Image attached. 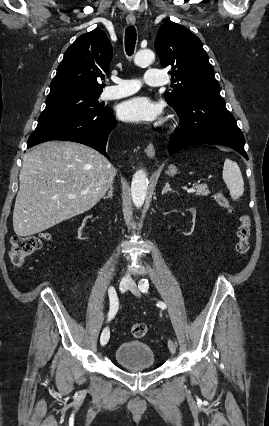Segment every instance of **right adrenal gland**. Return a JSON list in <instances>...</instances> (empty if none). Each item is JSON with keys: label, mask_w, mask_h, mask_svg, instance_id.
<instances>
[{"label": "right adrenal gland", "mask_w": 269, "mask_h": 426, "mask_svg": "<svg viewBox=\"0 0 269 426\" xmlns=\"http://www.w3.org/2000/svg\"><path fill=\"white\" fill-rule=\"evenodd\" d=\"M112 196H113V184L110 185L108 194L104 196V199H109V198L112 199Z\"/></svg>", "instance_id": "2a0ac1e0"}]
</instances>
